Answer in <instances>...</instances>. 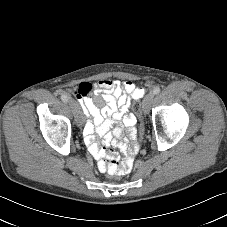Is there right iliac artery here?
I'll return each mask as SVG.
<instances>
[{"instance_id":"obj_1","label":"right iliac artery","mask_w":227,"mask_h":227,"mask_svg":"<svg viewBox=\"0 0 227 227\" xmlns=\"http://www.w3.org/2000/svg\"><path fill=\"white\" fill-rule=\"evenodd\" d=\"M61 99H62L63 102L67 103L69 98L66 94H62Z\"/></svg>"}]
</instances>
